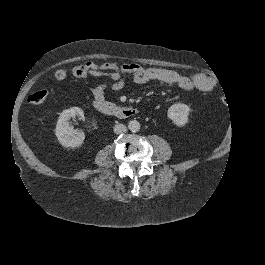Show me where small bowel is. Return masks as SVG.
Instances as JSON below:
<instances>
[{"mask_svg": "<svg viewBox=\"0 0 265 265\" xmlns=\"http://www.w3.org/2000/svg\"><path fill=\"white\" fill-rule=\"evenodd\" d=\"M88 75L93 77H107V80L97 85L89 86L87 97L94 101H103L106 89L119 91L125 85V76L132 74L133 81L142 85L150 81H159L167 84H174L183 90L190 91L198 89L203 92H210L214 88V82L203 74L191 76L182 75L174 70L163 68H144L137 63H94L87 62Z\"/></svg>", "mask_w": 265, "mask_h": 265, "instance_id": "1", "label": "small bowel"}]
</instances>
